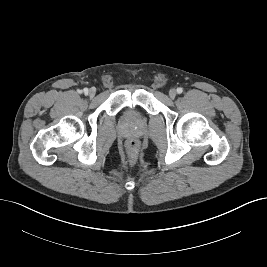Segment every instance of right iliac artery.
Here are the masks:
<instances>
[{"label": "right iliac artery", "instance_id": "right-iliac-artery-1", "mask_svg": "<svg viewBox=\"0 0 267 267\" xmlns=\"http://www.w3.org/2000/svg\"><path fill=\"white\" fill-rule=\"evenodd\" d=\"M83 92H84L85 94H87V93H88V89H87V88H84V89H83Z\"/></svg>", "mask_w": 267, "mask_h": 267}]
</instances>
